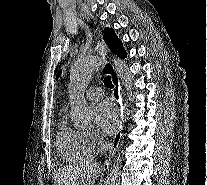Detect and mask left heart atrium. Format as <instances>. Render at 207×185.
Returning <instances> with one entry per match:
<instances>
[{
    "instance_id": "39dd6f15",
    "label": "left heart atrium",
    "mask_w": 207,
    "mask_h": 185,
    "mask_svg": "<svg viewBox=\"0 0 207 185\" xmlns=\"http://www.w3.org/2000/svg\"><path fill=\"white\" fill-rule=\"evenodd\" d=\"M95 122L103 135L113 134L119 124V111L116 105L109 100L98 104L95 109Z\"/></svg>"
}]
</instances>
